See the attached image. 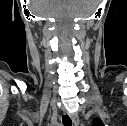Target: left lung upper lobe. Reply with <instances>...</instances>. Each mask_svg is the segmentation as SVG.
Returning <instances> with one entry per match:
<instances>
[{
  "instance_id": "5c2ea615",
  "label": "left lung upper lobe",
  "mask_w": 127,
  "mask_h": 126,
  "mask_svg": "<svg viewBox=\"0 0 127 126\" xmlns=\"http://www.w3.org/2000/svg\"><path fill=\"white\" fill-rule=\"evenodd\" d=\"M92 126H104V125H103V122H102L101 120L95 119V120L93 121Z\"/></svg>"
}]
</instances>
